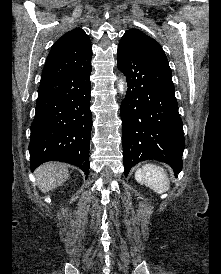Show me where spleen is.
<instances>
[{
    "label": "spleen",
    "instance_id": "spleen-1",
    "mask_svg": "<svg viewBox=\"0 0 221 274\" xmlns=\"http://www.w3.org/2000/svg\"><path fill=\"white\" fill-rule=\"evenodd\" d=\"M135 180L156 193H165L170 187V182L164 169L153 164H146L142 168L137 169Z\"/></svg>",
    "mask_w": 221,
    "mask_h": 274
}]
</instances>
